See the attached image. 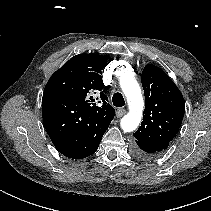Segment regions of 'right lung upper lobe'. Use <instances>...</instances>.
I'll return each mask as SVG.
<instances>
[{
    "label": "right lung upper lobe",
    "mask_w": 211,
    "mask_h": 211,
    "mask_svg": "<svg viewBox=\"0 0 211 211\" xmlns=\"http://www.w3.org/2000/svg\"><path fill=\"white\" fill-rule=\"evenodd\" d=\"M106 57L99 54H79L67 61L47 82L44 92H52L75 99L81 107V115L109 126L115 110L107 97L97 105L93 95L104 87L101 74ZM81 116V117H82Z\"/></svg>",
    "instance_id": "right-lung-upper-lobe-1"
}]
</instances>
